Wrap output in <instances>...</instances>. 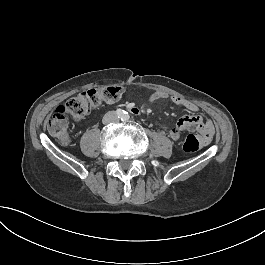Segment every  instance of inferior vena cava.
<instances>
[{
  "label": "inferior vena cava",
  "mask_w": 265,
  "mask_h": 265,
  "mask_svg": "<svg viewBox=\"0 0 265 265\" xmlns=\"http://www.w3.org/2000/svg\"><path fill=\"white\" fill-rule=\"evenodd\" d=\"M110 113H111L110 114V118H114L118 122L119 121V118H118L116 112H110Z\"/></svg>",
  "instance_id": "1"
}]
</instances>
